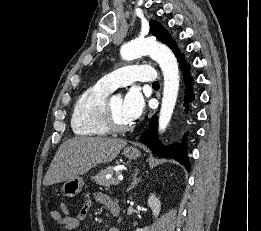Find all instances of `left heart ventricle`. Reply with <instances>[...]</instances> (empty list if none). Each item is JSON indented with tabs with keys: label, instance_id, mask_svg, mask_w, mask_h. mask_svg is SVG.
<instances>
[{
	"label": "left heart ventricle",
	"instance_id": "obj_1",
	"mask_svg": "<svg viewBox=\"0 0 261 231\" xmlns=\"http://www.w3.org/2000/svg\"><path fill=\"white\" fill-rule=\"evenodd\" d=\"M111 107L114 112L116 120L120 124H129L131 121L126 117L123 109V99L121 97H115L111 99Z\"/></svg>",
	"mask_w": 261,
	"mask_h": 231
}]
</instances>
